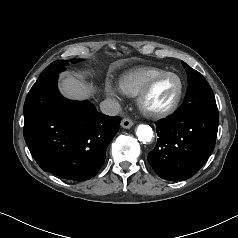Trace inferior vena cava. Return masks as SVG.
<instances>
[{"label": "inferior vena cava", "mask_w": 238, "mask_h": 238, "mask_svg": "<svg viewBox=\"0 0 238 238\" xmlns=\"http://www.w3.org/2000/svg\"><path fill=\"white\" fill-rule=\"evenodd\" d=\"M121 106L117 100L108 98L100 103V110L103 114L114 116L120 112Z\"/></svg>", "instance_id": "inferior-vena-cava-1"}]
</instances>
